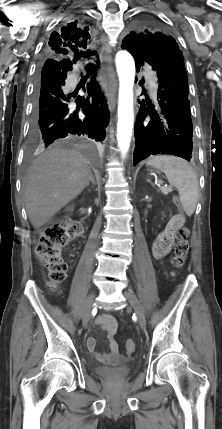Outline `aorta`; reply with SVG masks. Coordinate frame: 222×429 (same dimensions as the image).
Masks as SVG:
<instances>
[{
  "mask_svg": "<svg viewBox=\"0 0 222 429\" xmlns=\"http://www.w3.org/2000/svg\"><path fill=\"white\" fill-rule=\"evenodd\" d=\"M115 62L119 76L117 141L121 156L125 157L129 150L134 125L135 62L127 51L118 52Z\"/></svg>",
  "mask_w": 222,
  "mask_h": 429,
  "instance_id": "aorta-1",
  "label": "aorta"
}]
</instances>
